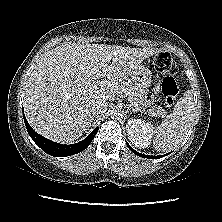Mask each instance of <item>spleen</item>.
<instances>
[{
    "label": "spleen",
    "instance_id": "obj_1",
    "mask_svg": "<svg viewBox=\"0 0 222 222\" xmlns=\"http://www.w3.org/2000/svg\"><path fill=\"white\" fill-rule=\"evenodd\" d=\"M195 117L193 93L188 90L171 113L155 130L153 146L157 151H171L185 139Z\"/></svg>",
    "mask_w": 222,
    "mask_h": 222
}]
</instances>
